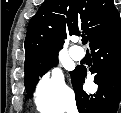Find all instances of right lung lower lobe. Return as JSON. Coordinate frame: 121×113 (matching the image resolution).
<instances>
[{"mask_svg":"<svg viewBox=\"0 0 121 113\" xmlns=\"http://www.w3.org/2000/svg\"><path fill=\"white\" fill-rule=\"evenodd\" d=\"M94 82L98 91L89 95L82 83L87 74L84 67L71 72L79 113H116L121 100V25L91 45Z\"/></svg>","mask_w":121,"mask_h":113,"instance_id":"right-lung-lower-lobe-1","label":"right lung lower lobe"}]
</instances>
